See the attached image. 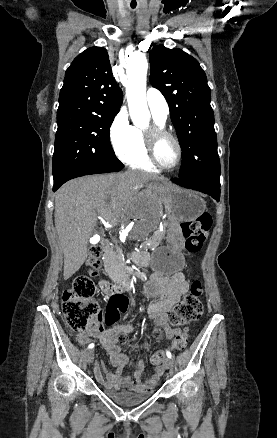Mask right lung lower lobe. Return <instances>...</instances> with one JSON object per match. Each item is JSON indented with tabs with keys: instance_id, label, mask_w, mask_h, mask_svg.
Segmentation results:
<instances>
[{
	"instance_id": "right-lung-lower-lobe-1",
	"label": "right lung lower lobe",
	"mask_w": 277,
	"mask_h": 438,
	"mask_svg": "<svg viewBox=\"0 0 277 438\" xmlns=\"http://www.w3.org/2000/svg\"><path fill=\"white\" fill-rule=\"evenodd\" d=\"M122 168L123 167H120V168H97V169H91V170H86V171H78V172H75V173L68 175L67 177H65L61 180L54 181L53 191H56L63 183H65L66 181H68L70 179L84 176V175H90V174L117 172V171H120Z\"/></svg>"
}]
</instances>
